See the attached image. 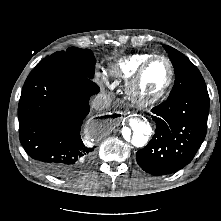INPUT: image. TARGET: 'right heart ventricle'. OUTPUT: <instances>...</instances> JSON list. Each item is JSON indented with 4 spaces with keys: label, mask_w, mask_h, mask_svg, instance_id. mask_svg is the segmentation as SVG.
Wrapping results in <instances>:
<instances>
[{
    "label": "right heart ventricle",
    "mask_w": 221,
    "mask_h": 221,
    "mask_svg": "<svg viewBox=\"0 0 221 221\" xmlns=\"http://www.w3.org/2000/svg\"><path fill=\"white\" fill-rule=\"evenodd\" d=\"M153 55L152 53H136L121 58L110 67V74L120 80L128 82L139 66Z\"/></svg>",
    "instance_id": "1"
}]
</instances>
